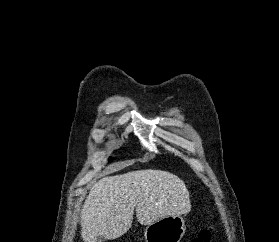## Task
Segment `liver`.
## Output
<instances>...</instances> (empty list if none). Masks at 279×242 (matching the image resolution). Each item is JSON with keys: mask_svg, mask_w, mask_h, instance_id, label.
Listing matches in <instances>:
<instances>
[{"mask_svg": "<svg viewBox=\"0 0 279 242\" xmlns=\"http://www.w3.org/2000/svg\"><path fill=\"white\" fill-rule=\"evenodd\" d=\"M134 209L142 225L186 214L191 211L189 191L178 176L162 170L103 177L91 188L81 211L83 241L121 237L132 225Z\"/></svg>", "mask_w": 279, "mask_h": 242, "instance_id": "6515ba94", "label": "liver"}]
</instances>
